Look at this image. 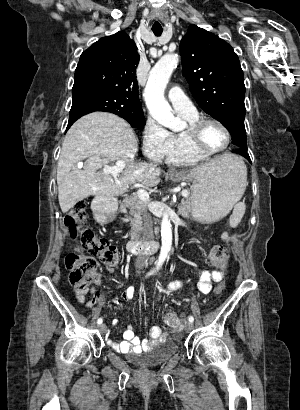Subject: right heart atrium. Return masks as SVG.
<instances>
[{"label":"right heart atrium","mask_w":300,"mask_h":410,"mask_svg":"<svg viewBox=\"0 0 300 410\" xmlns=\"http://www.w3.org/2000/svg\"><path fill=\"white\" fill-rule=\"evenodd\" d=\"M143 152L153 160H161L168 148L169 132L155 119L148 116L143 131Z\"/></svg>","instance_id":"obj_1"}]
</instances>
